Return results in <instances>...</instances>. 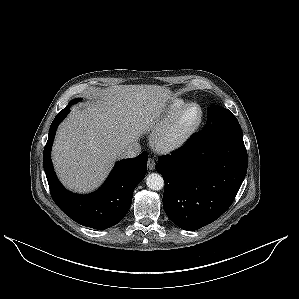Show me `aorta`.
<instances>
[{"instance_id":"762f6f07","label":"aorta","mask_w":299,"mask_h":299,"mask_svg":"<svg viewBox=\"0 0 299 299\" xmlns=\"http://www.w3.org/2000/svg\"><path fill=\"white\" fill-rule=\"evenodd\" d=\"M146 185L150 189L158 191L164 187V179L158 173H151L146 178Z\"/></svg>"}]
</instances>
